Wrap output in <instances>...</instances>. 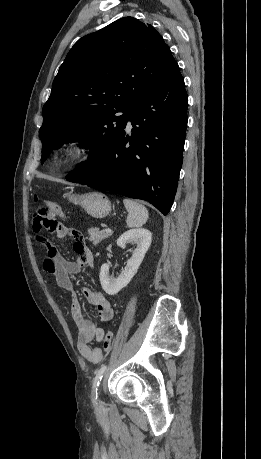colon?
<instances>
[{
  "instance_id": "5ec220e1",
  "label": "colon",
  "mask_w": 261,
  "mask_h": 459,
  "mask_svg": "<svg viewBox=\"0 0 261 459\" xmlns=\"http://www.w3.org/2000/svg\"><path fill=\"white\" fill-rule=\"evenodd\" d=\"M38 200V197L35 196V201ZM44 208L40 209L35 215L33 222L29 225V228L32 230L34 234L38 237L43 235L41 228H51L56 223L55 217H63L64 211L60 205L53 201H44ZM113 332L108 330L105 334L103 340V350L105 353H109L112 349L113 344Z\"/></svg>"
}]
</instances>
